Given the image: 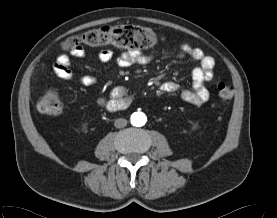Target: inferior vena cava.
I'll list each match as a JSON object with an SVG mask.
<instances>
[{
	"label": "inferior vena cava",
	"mask_w": 277,
	"mask_h": 218,
	"mask_svg": "<svg viewBox=\"0 0 277 218\" xmlns=\"http://www.w3.org/2000/svg\"><path fill=\"white\" fill-rule=\"evenodd\" d=\"M126 125H127V120L124 119V118H118V119H116L115 122H114V126H115L116 128H123V127H125Z\"/></svg>",
	"instance_id": "obj_1"
}]
</instances>
